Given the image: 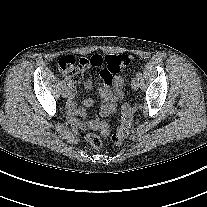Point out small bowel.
Returning <instances> with one entry per match:
<instances>
[{"instance_id":"obj_1","label":"small bowel","mask_w":207,"mask_h":207,"mask_svg":"<svg viewBox=\"0 0 207 207\" xmlns=\"http://www.w3.org/2000/svg\"><path fill=\"white\" fill-rule=\"evenodd\" d=\"M101 82L99 84V95L101 107L99 115L101 117H108L113 114L118 102L123 98V79L120 76H112L109 79H103L100 74ZM76 94L74 86L70 87L71 99L67 103L68 116L71 122L82 130H97L100 129V121L98 119H86V112L84 108L90 107L94 104L92 98H86L82 102V108H79L73 101Z\"/></svg>"}]
</instances>
